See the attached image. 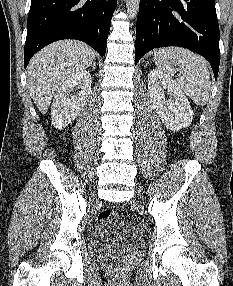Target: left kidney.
I'll return each instance as SVG.
<instances>
[{
	"instance_id": "obj_1",
	"label": "left kidney",
	"mask_w": 233,
	"mask_h": 286,
	"mask_svg": "<svg viewBox=\"0 0 233 286\" xmlns=\"http://www.w3.org/2000/svg\"><path fill=\"white\" fill-rule=\"evenodd\" d=\"M148 89L155 110L167 128L178 131L191 124L193 110L190 103L181 87L170 76L156 69L151 70Z\"/></svg>"
}]
</instances>
